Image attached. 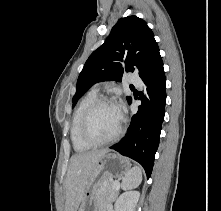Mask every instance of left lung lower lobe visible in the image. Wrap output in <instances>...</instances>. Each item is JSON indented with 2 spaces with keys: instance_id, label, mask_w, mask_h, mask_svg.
Here are the masks:
<instances>
[{
  "instance_id": "left-lung-lower-lobe-1",
  "label": "left lung lower lobe",
  "mask_w": 221,
  "mask_h": 211,
  "mask_svg": "<svg viewBox=\"0 0 221 211\" xmlns=\"http://www.w3.org/2000/svg\"><path fill=\"white\" fill-rule=\"evenodd\" d=\"M140 77L144 82V90L139 97L142 104L132 116L126 136L110 148L139 162L149 178L159 145L166 104V77L159 51Z\"/></svg>"
}]
</instances>
